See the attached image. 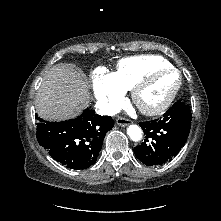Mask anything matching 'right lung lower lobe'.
<instances>
[{"instance_id":"right-lung-lower-lobe-1","label":"right lung lower lobe","mask_w":221,"mask_h":221,"mask_svg":"<svg viewBox=\"0 0 221 221\" xmlns=\"http://www.w3.org/2000/svg\"><path fill=\"white\" fill-rule=\"evenodd\" d=\"M38 120L39 144L57 162L75 170L86 169L96 162L104 137L114 125L110 116H100L88 109L63 122Z\"/></svg>"}]
</instances>
